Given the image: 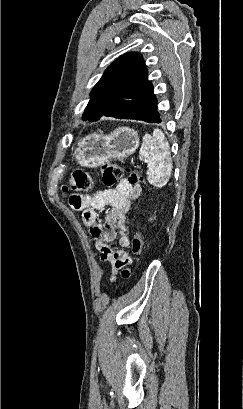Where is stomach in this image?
Masks as SVG:
<instances>
[{
  "label": "stomach",
  "instance_id": "stomach-1",
  "mask_svg": "<svg viewBox=\"0 0 243 409\" xmlns=\"http://www.w3.org/2000/svg\"><path fill=\"white\" fill-rule=\"evenodd\" d=\"M138 146V133L128 127H119L109 135H87L76 147L74 158L81 166L97 167L108 161L127 158Z\"/></svg>",
  "mask_w": 243,
  "mask_h": 409
}]
</instances>
